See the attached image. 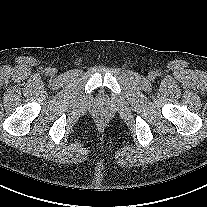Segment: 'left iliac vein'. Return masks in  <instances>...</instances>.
I'll list each match as a JSON object with an SVG mask.
<instances>
[{
  "label": "left iliac vein",
  "mask_w": 207,
  "mask_h": 207,
  "mask_svg": "<svg viewBox=\"0 0 207 207\" xmlns=\"http://www.w3.org/2000/svg\"><path fill=\"white\" fill-rule=\"evenodd\" d=\"M156 74L154 72H150L148 77L149 79L153 80L155 78Z\"/></svg>",
  "instance_id": "4c4485c4"
}]
</instances>
